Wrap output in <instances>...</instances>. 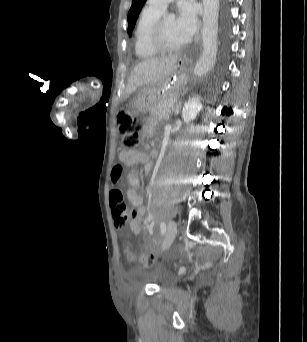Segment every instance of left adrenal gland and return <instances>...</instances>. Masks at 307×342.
<instances>
[{"mask_svg":"<svg viewBox=\"0 0 307 342\" xmlns=\"http://www.w3.org/2000/svg\"><path fill=\"white\" fill-rule=\"evenodd\" d=\"M181 104H182V102H181V100H179V102H176L174 108H172V110H174V112H175L174 116H177Z\"/></svg>","mask_w":307,"mask_h":342,"instance_id":"1","label":"left adrenal gland"}]
</instances>
